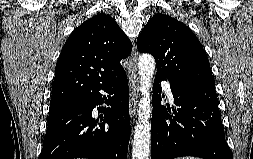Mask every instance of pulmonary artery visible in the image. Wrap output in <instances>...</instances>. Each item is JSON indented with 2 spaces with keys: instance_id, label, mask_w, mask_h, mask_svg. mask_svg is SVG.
Wrapping results in <instances>:
<instances>
[{
  "instance_id": "pulmonary-artery-1",
  "label": "pulmonary artery",
  "mask_w": 253,
  "mask_h": 159,
  "mask_svg": "<svg viewBox=\"0 0 253 159\" xmlns=\"http://www.w3.org/2000/svg\"><path fill=\"white\" fill-rule=\"evenodd\" d=\"M162 86L171 101H173V94L171 91L170 83L168 81H162Z\"/></svg>"
}]
</instances>
